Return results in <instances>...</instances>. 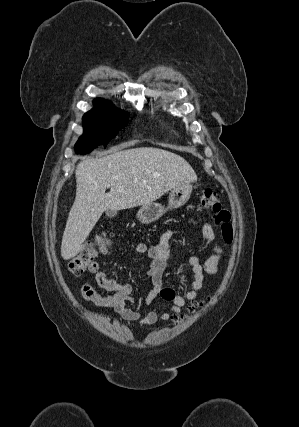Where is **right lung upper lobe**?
Listing matches in <instances>:
<instances>
[{
	"label": "right lung upper lobe",
	"mask_w": 299,
	"mask_h": 427,
	"mask_svg": "<svg viewBox=\"0 0 299 427\" xmlns=\"http://www.w3.org/2000/svg\"><path fill=\"white\" fill-rule=\"evenodd\" d=\"M94 104L95 105H105V104H110L109 102H107V101H105V100H102V99H96L95 101H94Z\"/></svg>",
	"instance_id": "obj_1"
}]
</instances>
